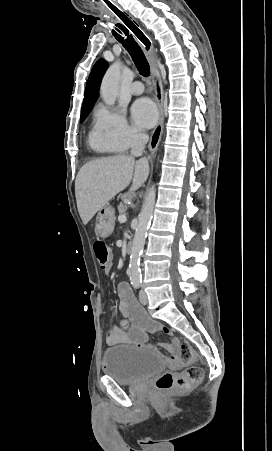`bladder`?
Wrapping results in <instances>:
<instances>
[{
  "instance_id": "bladder-1",
  "label": "bladder",
  "mask_w": 272,
  "mask_h": 451,
  "mask_svg": "<svg viewBox=\"0 0 272 451\" xmlns=\"http://www.w3.org/2000/svg\"><path fill=\"white\" fill-rule=\"evenodd\" d=\"M105 374L116 378L118 384H134L164 373L163 355L146 353L131 346L115 345L103 353Z\"/></svg>"
}]
</instances>
